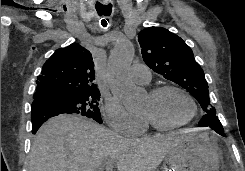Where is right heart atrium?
<instances>
[{
	"label": "right heart atrium",
	"mask_w": 245,
	"mask_h": 171,
	"mask_svg": "<svg viewBox=\"0 0 245 171\" xmlns=\"http://www.w3.org/2000/svg\"><path fill=\"white\" fill-rule=\"evenodd\" d=\"M107 125L116 133L126 137H136L146 128V119L132 114L115 100L108 101L104 108Z\"/></svg>",
	"instance_id": "obj_1"
}]
</instances>
